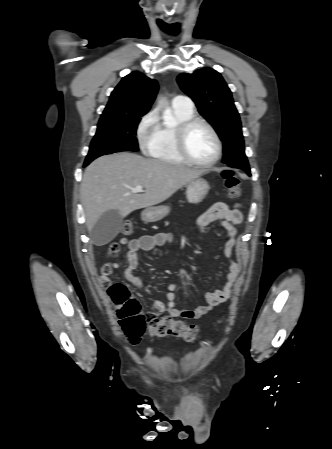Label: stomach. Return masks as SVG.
Instances as JSON below:
<instances>
[{"mask_svg":"<svg viewBox=\"0 0 332 449\" xmlns=\"http://www.w3.org/2000/svg\"><path fill=\"white\" fill-rule=\"evenodd\" d=\"M210 187L203 178H196L187 184L186 197L189 203L198 204L204 200ZM170 212L168 206H155L144 209L141 218L144 222H157L167 216Z\"/></svg>","mask_w":332,"mask_h":449,"instance_id":"0dacf381","label":"stomach"}]
</instances>
